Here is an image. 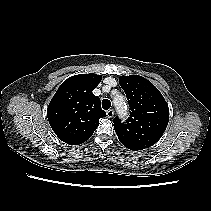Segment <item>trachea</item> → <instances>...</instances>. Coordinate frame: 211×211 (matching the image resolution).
Returning <instances> with one entry per match:
<instances>
[{
  "label": "trachea",
  "mask_w": 211,
  "mask_h": 211,
  "mask_svg": "<svg viewBox=\"0 0 211 211\" xmlns=\"http://www.w3.org/2000/svg\"><path fill=\"white\" fill-rule=\"evenodd\" d=\"M111 107V102L108 99L102 100V108L108 110Z\"/></svg>",
  "instance_id": "trachea-1"
}]
</instances>
